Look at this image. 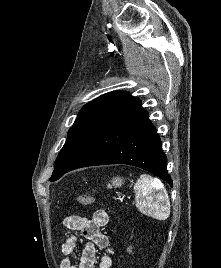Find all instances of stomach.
Listing matches in <instances>:
<instances>
[{"instance_id": "0dacf381", "label": "stomach", "mask_w": 221, "mask_h": 268, "mask_svg": "<svg viewBox=\"0 0 221 268\" xmlns=\"http://www.w3.org/2000/svg\"><path fill=\"white\" fill-rule=\"evenodd\" d=\"M124 183V179L122 177H114L110 183H108L107 187H121V185Z\"/></svg>"}]
</instances>
